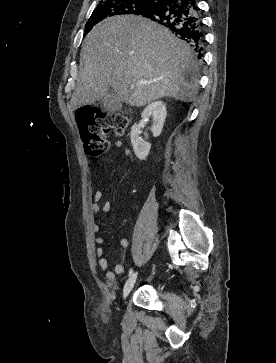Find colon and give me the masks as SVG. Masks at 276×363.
Listing matches in <instances>:
<instances>
[{"instance_id":"1","label":"colon","mask_w":276,"mask_h":363,"mask_svg":"<svg viewBox=\"0 0 276 363\" xmlns=\"http://www.w3.org/2000/svg\"><path fill=\"white\" fill-rule=\"evenodd\" d=\"M76 121L86 153L92 157L103 154L109 147L108 134L122 135L128 120L120 113L102 112L92 108H81Z\"/></svg>"}]
</instances>
